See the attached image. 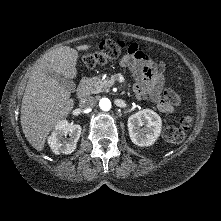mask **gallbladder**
<instances>
[{"label":"gallbladder","instance_id":"gallbladder-1","mask_svg":"<svg viewBox=\"0 0 221 221\" xmlns=\"http://www.w3.org/2000/svg\"><path fill=\"white\" fill-rule=\"evenodd\" d=\"M46 74H47V76H49V77L55 79L56 81H58V83L61 86H63L64 88H66L70 92L75 91L76 85H75V83L70 78H66L63 75L56 74V73L47 72Z\"/></svg>","mask_w":221,"mask_h":221}]
</instances>
